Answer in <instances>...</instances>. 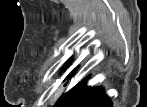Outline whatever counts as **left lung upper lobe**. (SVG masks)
I'll list each match as a JSON object with an SVG mask.
<instances>
[{
  "instance_id": "left-lung-upper-lobe-1",
  "label": "left lung upper lobe",
  "mask_w": 147,
  "mask_h": 107,
  "mask_svg": "<svg viewBox=\"0 0 147 107\" xmlns=\"http://www.w3.org/2000/svg\"><path fill=\"white\" fill-rule=\"evenodd\" d=\"M70 64V62H68L67 64H66V66L67 65H69ZM76 71H77V68H75L65 79L68 81V80H70L73 76H74V74L76 73Z\"/></svg>"
}]
</instances>
